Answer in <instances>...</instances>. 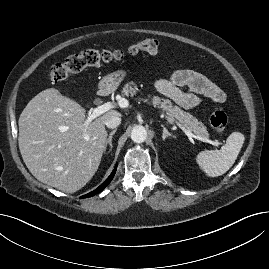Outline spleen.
<instances>
[{"label":"spleen","instance_id":"obj_1","mask_svg":"<svg viewBox=\"0 0 269 269\" xmlns=\"http://www.w3.org/2000/svg\"><path fill=\"white\" fill-rule=\"evenodd\" d=\"M245 137L240 132H232L220 150L201 151L196 161L209 177L225 174L235 163Z\"/></svg>","mask_w":269,"mask_h":269}]
</instances>
